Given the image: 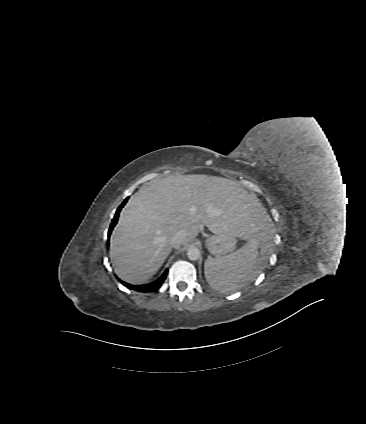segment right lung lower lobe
<instances>
[{
  "label": "right lung lower lobe",
  "instance_id": "1",
  "mask_svg": "<svg viewBox=\"0 0 366 424\" xmlns=\"http://www.w3.org/2000/svg\"><path fill=\"white\" fill-rule=\"evenodd\" d=\"M127 200H128V198H126L124 200V202L119 206L118 210L116 211V214H115V216H114V218L112 220V223H111V226H110V229H109L108 237H110V234L112 232V229H113V227L116 225V223L118 221L119 212L122 209V207L125 205V203L127 202ZM167 272H168V270H166L163 273V275L158 280H156L155 282L150 283V284H146V285H141V286H132V285H130L128 283H125V282H123L121 280H119V281L124 286H126V287H128V288H130L132 290H136V291H140V292H150V291H154V290L158 289L161 286V284L163 283V281L166 278Z\"/></svg>",
  "mask_w": 366,
  "mask_h": 424
}]
</instances>
